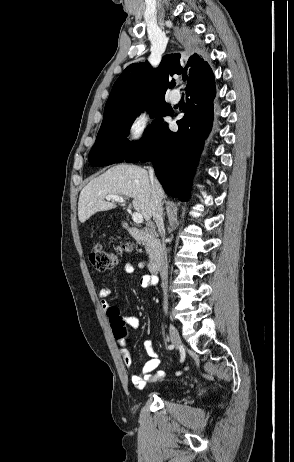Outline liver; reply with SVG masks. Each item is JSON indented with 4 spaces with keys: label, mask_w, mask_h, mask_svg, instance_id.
<instances>
[{
    "label": "liver",
    "mask_w": 294,
    "mask_h": 462,
    "mask_svg": "<svg viewBox=\"0 0 294 462\" xmlns=\"http://www.w3.org/2000/svg\"><path fill=\"white\" fill-rule=\"evenodd\" d=\"M156 189L161 198L164 191L157 180ZM152 185L148 172L136 165L120 164L108 169L91 180L81 191L78 202V217L84 223L100 211L116 208V203L105 201L107 195L125 196L133 199V207L145 220H150Z\"/></svg>",
    "instance_id": "6515ba94"
}]
</instances>
